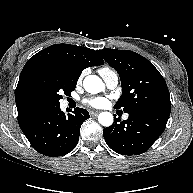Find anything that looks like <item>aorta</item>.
<instances>
[{
  "label": "aorta",
  "instance_id": "1",
  "mask_svg": "<svg viewBox=\"0 0 193 193\" xmlns=\"http://www.w3.org/2000/svg\"><path fill=\"white\" fill-rule=\"evenodd\" d=\"M84 89L91 94H96L104 89L103 81L96 75H88L83 81ZM102 126L109 127L113 123V115L110 112H102L98 116Z\"/></svg>",
  "mask_w": 193,
  "mask_h": 193
}]
</instances>
